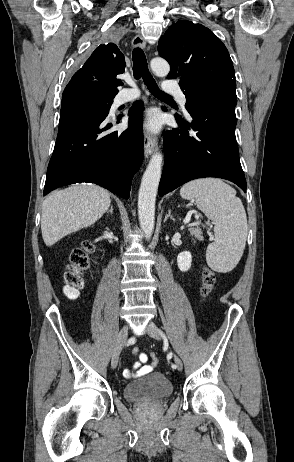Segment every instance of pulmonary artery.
I'll list each match as a JSON object with an SVG mask.
<instances>
[{"mask_svg":"<svg viewBox=\"0 0 294 462\" xmlns=\"http://www.w3.org/2000/svg\"><path fill=\"white\" fill-rule=\"evenodd\" d=\"M128 84L131 86V88H124L118 94V96H117V102L118 103H126V102H129V101H133V100L137 99L140 96V93L136 89V86H135L134 82L128 81ZM163 89H164V91L175 95V97L177 98L179 104L182 107H185V105L187 103V99H186L184 93L182 92V90L180 89V87L178 85L166 84L163 87Z\"/></svg>","mask_w":294,"mask_h":462,"instance_id":"pulmonary-artery-1","label":"pulmonary artery"}]
</instances>
